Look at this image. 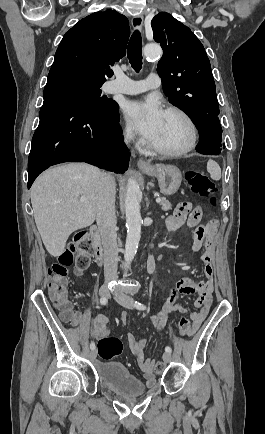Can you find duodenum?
I'll return each mask as SVG.
<instances>
[{
  "instance_id": "obj_1",
  "label": "duodenum",
  "mask_w": 265,
  "mask_h": 434,
  "mask_svg": "<svg viewBox=\"0 0 265 434\" xmlns=\"http://www.w3.org/2000/svg\"><path fill=\"white\" fill-rule=\"evenodd\" d=\"M90 237L94 243V255L97 263L100 265L102 264L103 256H104V250L100 243V237H99V230L97 227L93 226L89 230ZM156 255L150 254L146 258V270L148 274H152L154 272L155 266H156Z\"/></svg>"
}]
</instances>
